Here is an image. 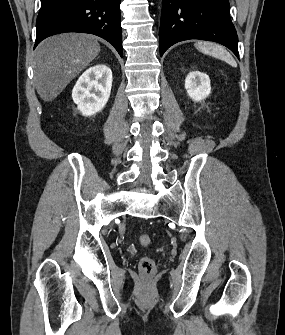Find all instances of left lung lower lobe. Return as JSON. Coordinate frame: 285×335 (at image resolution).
<instances>
[{"label": "left lung lower lobe", "mask_w": 285, "mask_h": 335, "mask_svg": "<svg viewBox=\"0 0 285 335\" xmlns=\"http://www.w3.org/2000/svg\"><path fill=\"white\" fill-rule=\"evenodd\" d=\"M160 56L173 44L200 39L228 47L238 58V37L228 0H163Z\"/></svg>", "instance_id": "left-lung-lower-lobe-1"}]
</instances>
